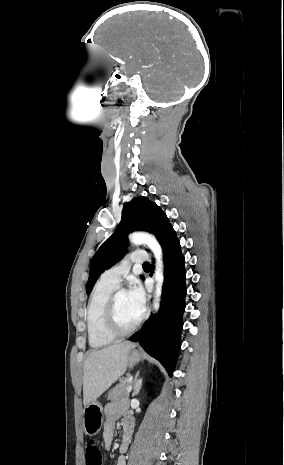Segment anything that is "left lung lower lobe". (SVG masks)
Returning <instances> with one entry per match:
<instances>
[{
  "mask_svg": "<svg viewBox=\"0 0 284 465\" xmlns=\"http://www.w3.org/2000/svg\"><path fill=\"white\" fill-rule=\"evenodd\" d=\"M162 249L165 281L159 313L151 317L146 326L135 333L130 341L139 342L147 353L161 362L169 376H172L181 346L182 316L187 292L185 259L175 231Z\"/></svg>",
  "mask_w": 284,
  "mask_h": 465,
  "instance_id": "left-lung-lower-lobe-1",
  "label": "left lung lower lobe"
}]
</instances>
